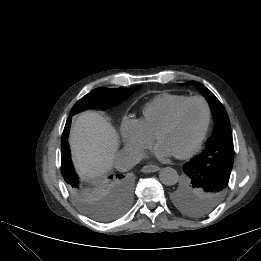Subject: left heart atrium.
Segmentation results:
<instances>
[{"mask_svg":"<svg viewBox=\"0 0 261 261\" xmlns=\"http://www.w3.org/2000/svg\"><path fill=\"white\" fill-rule=\"evenodd\" d=\"M175 152L165 143L159 142L154 149V156L159 159L168 158L174 155Z\"/></svg>","mask_w":261,"mask_h":261,"instance_id":"1","label":"left heart atrium"}]
</instances>
